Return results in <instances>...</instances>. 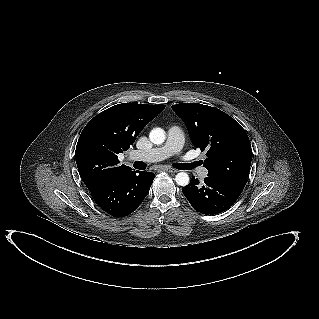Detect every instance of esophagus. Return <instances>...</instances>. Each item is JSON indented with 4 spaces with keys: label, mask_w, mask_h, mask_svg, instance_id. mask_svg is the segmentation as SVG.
<instances>
[{
    "label": "esophagus",
    "mask_w": 319,
    "mask_h": 319,
    "mask_svg": "<svg viewBox=\"0 0 319 319\" xmlns=\"http://www.w3.org/2000/svg\"><path fill=\"white\" fill-rule=\"evenodd\" d=\"M165 171H167V172H169V173H177V172H178L177 169L170 168V167L165 168Z\"/></svg>",
    "instance_id": "obj_1"
}]
</instances>
